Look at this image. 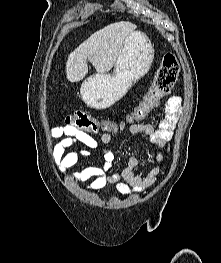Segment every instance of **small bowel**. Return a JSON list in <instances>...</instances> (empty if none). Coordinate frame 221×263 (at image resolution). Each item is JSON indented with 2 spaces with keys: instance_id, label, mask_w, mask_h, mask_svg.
Returning a JSON list of instances; mask_svg holds the SVG:
<instances>
[{
  "instance_id": "obj_1",
  "label": "small bowel",
  "mask_w": 221,
  "mask_h": 263,
  "mask_svg": "<svg viewBox=\"0 0 221 263\" xmlns=\"http://www.w3.org/2000/svg\"><path fill=\"white\" fill-rule=\"evenodd\" d=\"M182 99L175 95L169 98L165 106V116L156 125L133 123L128 127L131 134H143L149 143L157 148L155 155L156 165L145 175L141 176L135 172L139 165V160L135 156L127 159L126 167L120 173H111L114 164V153L105 146L112 143L109 134H103L100 141L91 136L75 131L67 126H60L51 130V135L59 139V143L54 149V156L60 159V171L65 174L66 170L74 166L81 157H90L93 152H99L102 157L100 166H89L81 171L70 175L73 182H87L85 189L89 192H97L108 185H113L118 193L122 195H138L152 186L161 175L165 174V169L161 167L164 153L163 149L171 141L176 123L181 113ZM75 145H83L71 152H65L67 148ZM170 152L171 148L168 147Z\"/></svg>"
}]
</instances>
